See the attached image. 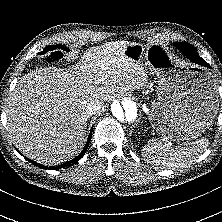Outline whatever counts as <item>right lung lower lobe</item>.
I'll return each instance as SVG.
<instances>
[{
	"label": "right lung lower lobe",
	"instance_id": "1",
	"mask_svg": "<svg viewBox=\"0 0 222 222\" xmlns=\"http://www.w3.org/2000/svg\"><path fill=\"white\" fill-rule=\"evenodd\" d=\"M91 136H92V133L90 132L85 147L83 148L82 152H81L77 157H75V158L72 159L71 161H68V162H66V163H63V164L60 165V166L50 167V168L59 169V168H61V167L72 166L73 164H75L76 162H78V161L85 155V153H86V151H87V148H88V146H89L90 140H91ZM26 159H27V158H26ZM28 161L31 162L32 164L36 165V166L41 167V168H47V167H45V166H43V165H40V164H38L37 162L32 161V160H30V159H28Z\"/></svg>",
	"mask_w": 222,
	"mask_h": 222
}]
</instances>
